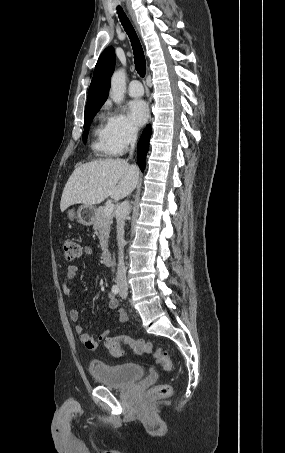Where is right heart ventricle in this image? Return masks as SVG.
Wrapping results in <instances>:
<instances>
[{"instance_id": "obj_1", "label": "right heart ventricle", "mask_w": 285, "mask_h": 453, "mask_svg": "<svg viewBox=\"0 0 285 453\" xmlns=\"http://www.w3.org/2000/svg\"><path fill=\"white\" fill-rule=\"evenodd\" d=\"M92 148L99 155H112L108 143L106 125L98 124L94 128Z\"/></svg>"}]
</instances>
